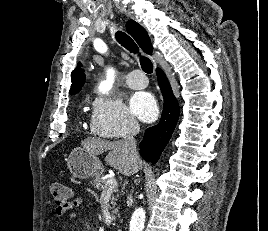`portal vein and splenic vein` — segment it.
<instances>
[{
    "label": "portal vein and splenic vein",
    "instance_id": "1",
    "mask_svg": "<svg viewBox=\"0 0 268 231\" xmlns=\"http://www.w3.org/2000/svg\"><path fill=\"white\" fill-rule=\"evenodd\" d=\"M115 187H117V181L115 178L110 177L106 181V187L104 189V192H110L112 191Z\"/></svg>",
    "mask_w": 268,
    "mask_h": 231
}]
</instances>
